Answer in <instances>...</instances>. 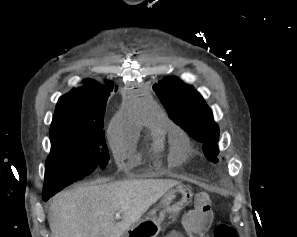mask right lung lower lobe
I'll return each instance as SVG.
<instances>
[{
    "instance_id": "1",
    "label": "right lung lower lobe",
    "mask_w": 297,
    "mask_h": 237,
    "mask_svg": "<svg viewBox=\"0 0 297 237\" xmlns=\"http://www.w3.org/2000/svg\"><path fill=\"white\" fill-rule=\"evenodd\" d=\"M53 195H49V194H43V200L46 201L49 199V197H51Z\"/></svg>"
}]
</instances>
